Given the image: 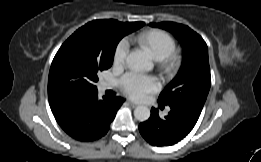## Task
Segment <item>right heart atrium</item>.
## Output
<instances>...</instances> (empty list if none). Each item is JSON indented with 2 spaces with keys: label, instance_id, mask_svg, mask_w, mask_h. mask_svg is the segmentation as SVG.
<instances>
[{
  "label": "right heart atrium",
  "instance_id": "1",
  "mask_svg": "<svg viewBox=\"0 0 261 162\" xmlns=\"http://www.w3.org/2000/svg\"><path fill=\"white\" fill-rule=\"evenodd\" d=\"M128 51V44L125 41H122L118 44L115 49L113 56V63L116 66H122L125 63L126 55Z\"/></svg>",
  "mask_w": 261,
  "mask_h": 162
}]
</instances>
